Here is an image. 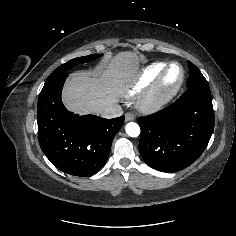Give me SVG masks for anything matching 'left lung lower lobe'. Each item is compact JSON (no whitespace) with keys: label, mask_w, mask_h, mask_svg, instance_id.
Wrapping results in <instances>:
<instances>
[{"label":"left lung lower lobe","mask_w":236,"mask_h":236,"mask_svg":"<svg viewBox=\"0 0 236 236\" xmlns=\"http://www.w3.org/2000/svg\"><path fill=\"white\" fill-rule=\"evenodd\" d=\"M143 160L161 172L182 170L205 150L214 129L209 85L187 91L167 108L138 119Z\"/></svg>","instance_id":"1"}]
</instances>
